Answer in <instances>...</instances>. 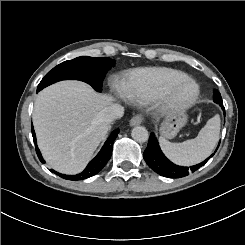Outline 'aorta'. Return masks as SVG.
Wrapping results in <instances>:
<instances>
[{
    "instance_id": "aorta-1",
    "label": "aorta",
    "mask_w": 245,
    "mask_h": 245,
    "mask_svg": "<svg viewBox=\"0 0 245 245\" xmlns=\"http://www.w3.org/2000/svg\"><path fill=\"white\" fill-rule=\"evenodd\" d=\"M131 136L135 141H137L139 143L146 142L149 138L148 131L143 126L134 127L132 129Z\"/></svg>"
}]
</instances>
